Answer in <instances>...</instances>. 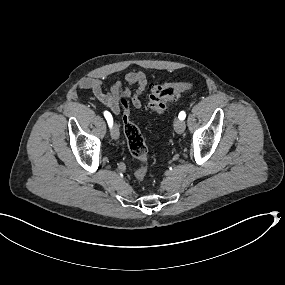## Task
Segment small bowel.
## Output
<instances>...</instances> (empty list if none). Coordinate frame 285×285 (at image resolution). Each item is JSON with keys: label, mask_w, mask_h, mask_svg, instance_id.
Returning <instances> with one entry per match:
<instances>
[{"label": "small bowel", "mask_w": 285, "mask_h": 285, "mask_svg": "<svg viewBox=\"0 0 285 285\" xmlns=\"http://www.w3.org/2000/svg\"><path fill=\"white\" fill-rule=\"evenodd\" d=\"M125 79L126 84L115 82L110 88H107L98 79L85 78L80 82V87L90 90L102 105L113 114L118 115L121 111L120 98L130 95L133 89L132 104L135 108H141L142 101L140 97L148 85L147 77L141 71L129 72Z\"/></svg>", "instance_id": "small-bowel-1"}]
</instances>
